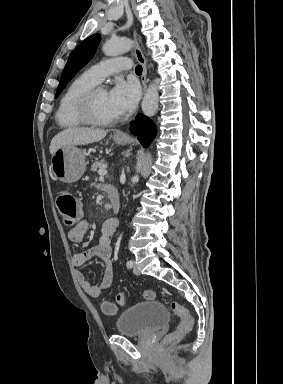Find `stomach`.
<instances>
[{
  "label": "stomach",
  "mask_w": 283,
  "mask_h": 384,
  "mask_svg": "<svg viewBox=\"0 0 283 384\" xmlns=\"http://www.w3.org/2000/svg\"><path fill=\"white\" fill-rule=\"evenodd\" d=\"M115 144H127L128 136L124 138H113ZM51 170L60 182L65 184H73L80 180L85 172V156L83 150H79L76 146H65L58 148L51 158Z\"/></svg>",
  "instance_id": "obj_1"
}]
</instances>
